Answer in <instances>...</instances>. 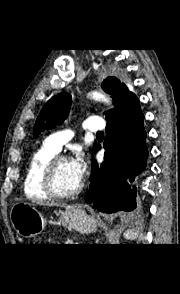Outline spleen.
Here are the masks:
<instances>
[{"instance_id": "spleen-1", "label": "spleen", "mask_w": 180, "mask_h": 294, "mask_svg": "<svg viewBox=\"0 0 180 294\" xmlns=\"http://www.w3.org/2000/svg\"><path fill=\"white\" fill-rule=\"evenodd\" d=\"M124 237H125L126 239L134 240V239H136V237H137V233H136L134 230H127V231L124 233Z\"/></svg>"}]
</instances>
